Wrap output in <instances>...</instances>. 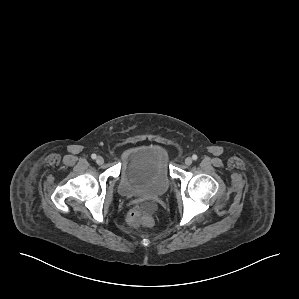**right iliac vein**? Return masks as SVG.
Here are the masks:
<instances>
[{"instance_id":"right-iliac-vein-1","label":"right iliac vein","mask_w":299,"mask_h":299,"mask_svg":"<svg viewBox=\"0 0 299 299\" xmlns=\"http://www.w3.org/2000/svg\"><path fill=\"white\" fill-rule=\"evenodd\" d=\"M96 163L102 165L104 163V158L102 156H98L96 158Z\"/></svg>"}]
</instances>
